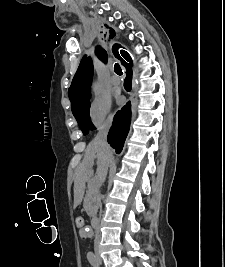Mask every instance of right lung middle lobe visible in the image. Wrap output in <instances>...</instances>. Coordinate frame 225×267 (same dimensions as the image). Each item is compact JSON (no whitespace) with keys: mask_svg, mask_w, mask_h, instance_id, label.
<instances>
[{"mask_svg":"<svg viewBox=\"0 0 225 267\" xmlns=\"http://www.w3.org/2000/svg\"><path fill=\"white\" fill-rule=\"evenodd\" d=\"M90 98L91 92H89L83 99L72 106V112L75 116L82 132L86 135L89 130H94L95 127L90 120Z\"/></svg>","mask_w":225,"mask_h":267,"instance_id":"1","label":"right lung middle lobe"}]
</instances>
